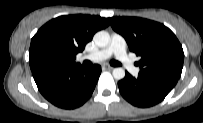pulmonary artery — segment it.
Masks as SVG:
<instances>
[{
    "instance_id": "pulmonary-artery-1",
    "label": "pulmonary artery",
    "mask_w": 203,
    "mask_h": 123,
    "mask_svg": "<svg viewBox=\"0 0 203 123\" xmlns=\"http://www.w3.org/2000/svg\"><path fill=\"white\" fill-rule=\"evenodd\" d=\"M112 55H114L132 75H137L139 73V68L134 64L133 60L126 52L124 38L117 33L112 34L111 42L106 48L85 55L84 59L100 62L108 59Z\"/></svg>"
}]
</instances>
